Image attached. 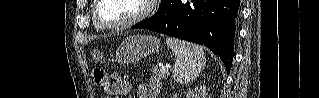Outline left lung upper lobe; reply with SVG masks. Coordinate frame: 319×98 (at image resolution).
Segmentation results:
<instances>
[{"label": "left lung upper lobe", "mask_w": 319, "mask_h": 98, "mask_svg": "<svg viewBox=\"0 0 319 98\" xmlns=\"http://www.w3.org/2000/svg\"><path fill=\"white\" fill-rule=\"evenodd\" d=\"M164 1L165 0H161L160 7H159L157 13L154 16H152L151 18H149V19H147L145 21H142L140 23L146 25V24H151L152 22L158 20L161 17L162 13H163Z\"/></svg>", "instance_id": "left-lung-upper-lobe-1"}]
</instances>
